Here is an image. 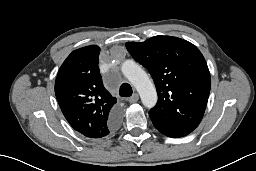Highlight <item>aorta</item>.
Listing matches in <instances>:
<instances>
[{
	"label": "aorta",
	"mask_w": 256,
	"mask_h": 171,
	"mask_svg": "<svg viewBox=\"0 0 256 171\" xmlns=\"http://www.w3.org/2000/svg\"><path fill=\"white\" fill-rule=\"evenodd\" d=\"M121 71L138 91L143 105L146 108L154 107L157 102V93L147 73L132 60L125 61Z\"/></svg>",
	"instance_id": "762f6f07"
}]
</instances>
